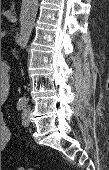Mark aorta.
<instances>
[{"label": "aorta", "mask_w": 109, "mask_h": 170, "mask_svg": "<svg viewBox=\"0 0 109 170\" xmlns=\"http://www.w3.org/2000/svg\"><path fill=\"white\" fill-rule=\"evenodd\" d=\"M38 5V0H28V3L23 11L18 39L21 49H25L29 42L38 12Z\"/></svg>", "instance_id": "1"}]
</instances>
